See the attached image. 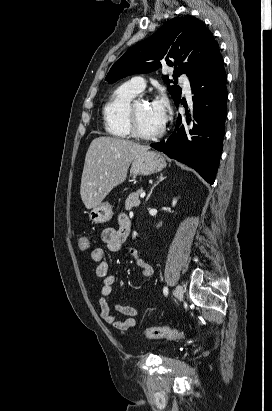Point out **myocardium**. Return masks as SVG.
<instances>
[{"label":"myocardium","instance_id":"myocardium-1","mask_svg":"<svg viewBox=\"0 0 272 411\" xmlns=\"http://www.w3.org/2000/svg\"><path fill=\"white\" fill-rule=\"evenodd\" d=\"M139 101H145V100L142 97L134 98L130 102L128 109H127V121H128V127H129L130 134L134 138L141 139V140H156L162 137L165 132L164 125H162L158 131L151 133V134L144 133L139 129L138 124H137V119H136V111H135L136 104Z\"/></svg>","mask_w":272,"mask_h":411}]
</instances>
